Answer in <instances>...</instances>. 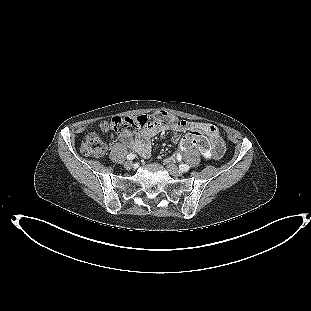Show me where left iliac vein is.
<instances>
[{
    "mask_svg": "<svg viewBox=\"0 0 311 311\" xmlns=\"http://www.w3.org/2000/svg\"><path fill=\"white\" fill-rule=\"evenodd\" d=\"M167 170L169 171V173L173 176H181L182 175V171L180 169H178V167L176 165H174L171 161L167 162Z\"/></svg>",
    "mask_w": 311,
    "mask_h": 311,
    "instance_id": "4c4485c4",
    "label": "left iliac vein"
}]
</instances>
